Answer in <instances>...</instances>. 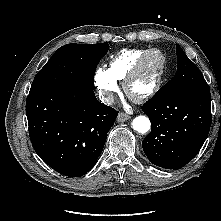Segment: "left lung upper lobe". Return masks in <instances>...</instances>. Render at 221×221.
I'll list each match as a JSON object with an SVG mask.
<instances>
[{"label":"left lung upper lobe","instance_id":"1","mask_svg":"<svg viewBox=\"0 0 221 221\" xmlns=\"http://www.w3.org/2000/svg\"><path fill=\"white\" fill-rule=\"evenodd\" d=\"M177 72L156 94L184 91H210L203 75L197 66L186 56L180 46L176 45Z\"/></svg>","mask_w":221,"mask_h":221}]
</instances>
